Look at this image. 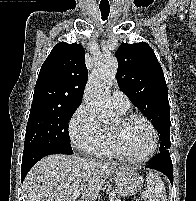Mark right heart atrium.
<instances>
[{
    "instance_id": "obj_1",
    "label": "right heart atrium",
    "mask_w": 196,
    "mask_h": 201,
    "mask_svg": "<svg viewBox=\"0 0 196 201\" xmlns=\"http://www.w3.org/2000/svg\"><path fill=\"white\" fill-rule=\"evenodd\" d=\"M68 132L72 146L85 154H94L104 141L102 126L84 103L80 104L72 114Z\"/></svg>"
}]
</instances>
